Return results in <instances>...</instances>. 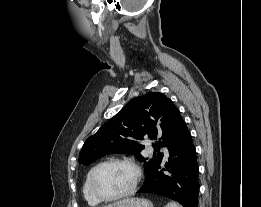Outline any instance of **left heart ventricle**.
I'll return each mask as SVG.
<instances>
[{
    "mask_svg": "<svg viewBox=\"0 0 261 207\" xmlns=\"http://www.w3.org/2000/svg\"><path fill=\"white\" fill-rule=\"evenodd\" d=\"M133 180L132 168L124 164H110L98 172L96 187L101 195L111 197L129 189Z\"/></svg>",
    "mask_w": 261,
    "mask_h": 207,
    "instance_id": "b2bd125f",
    "label": "left heart ventricle"
}]
</instances>
